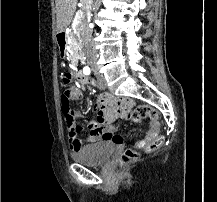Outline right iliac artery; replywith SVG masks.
Wrapping results in <instances>:
<instances>
[{
	"label": "right iliac artery",
	"instance_id": "obj_1",
	"mask_svg": "<svg viewBox=\"0 0 217 202\" xmlns=\"http://www.w3.org/2000/svg\"><path fill=\"white\" fill-rule=\"evenodd\" d=\"M85 74H86V75H89V74H90V69H89L87 72H85Z\"/></svg>",
	"mask_w": 217,
	"mask_h": 202
}]
</instances>
